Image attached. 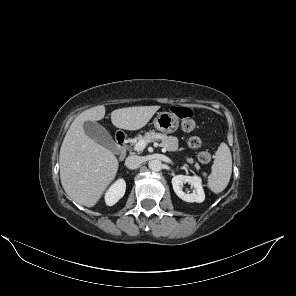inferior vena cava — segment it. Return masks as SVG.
I'll return each mask as SVG.
<instances>
[{
	"label": "inferior vena cava",
	"mask_w": 296,
	"mask_h": 296,
	"mask_svg": "<svg viewBox=\"0 0 296 296\" xmlns=\"http://www.w3.org/2000/svg\"><path fill=\"white\" fill-rule=\"evenodd\" d=\"M142 163L141 158L137 155H130L126 158L125 165L129 169H136Z\"/></svg>",
	"instance_id": "1"
}]
</instances>
